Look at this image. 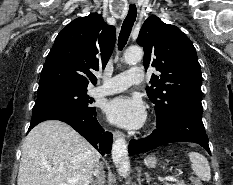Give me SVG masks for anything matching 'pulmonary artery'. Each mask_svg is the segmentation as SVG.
Returning <instances> with one entry per match:
<instances>
[{
	"instance_id": "obj_1",
	"label": "pulmonary artery",
	"mask_w": 233,
	"mask_h": 185,
	"mask_svg": "<svg viewBox=\"0 0 233 185\" xmlns=\"http://www.w3.org/2000/svg\"><path fill=\"white\" fill-rule=\"evenodd\" d=\"M144 73L140 67H132L114 77L104 78L103 85L95 88V94L108 95L120 92L143 81Z\"/></svg>"
}]
</instances>
